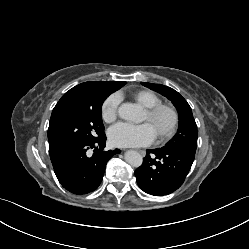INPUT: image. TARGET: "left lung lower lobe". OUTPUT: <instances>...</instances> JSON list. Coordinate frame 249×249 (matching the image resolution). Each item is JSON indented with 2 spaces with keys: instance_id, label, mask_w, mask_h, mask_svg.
Listing matches in <instances>:
<instances>
[{
  "instance_id": "0a47b994",
  "label": "left lung lower lobe",
  "mask_w": 249,
  "mask_h": 249,
  "mask_svg": "<svg viewBox=\"0 0 249 249\" xmlns=\"http://www.w3.org/2000/svg\"><path fill=\"white\" fill-rule=\"evenodd\" d=\"M194 158L195 152L190 150L165 148L147 150L143 164L135 171L137 183L148 194L155 196L170 194L182 185Z\"/></svg>"
}]
</instances>
